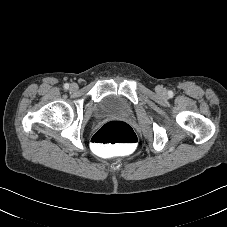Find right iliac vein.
<instances>
[{"instance_id": "63e3f726", "label": "right iliac vein", "mask_w": 227, "mask_h": 227, "mask_svg": "<svg viewBox=\"0 0 227 227\" xmlns=\"http://www.w3.org/2000/svg\"><path fill=\"white\" fill-rule=\"evenodd\" d=\"M77 89H78V85H77L76 83H72V84L70 85V90L75 91V90H77Z\"/></svg>"}]
</instances>
